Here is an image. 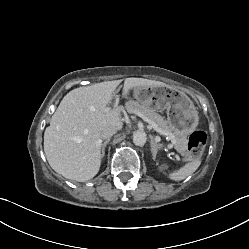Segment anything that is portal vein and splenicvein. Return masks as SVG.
<instances>
[{
    "instance_id": "portal-vein-and-splenic-vein-1",
    "label": "portal vein and splenic vein",
    "mask_w": 249,
    "mask_h": 249,
    "mask_svg": "<svg viewBox=\"0 0 249 249\" xmlns=\"http://www.w3.org/2000/svg\"><path fill=\"white\" fill-rule=\"evenodd\" d=\"M136 115H138L140 118H142L144 121H146L147 123L150 124V127L153 128L154 130H156L158 133H160L161 135H166L169 136V140H171L172 145L176 144V140L175 137L167 132H164L162 130H160L157 125L150 120L148 117H146L145 115H143L141 112H135Z\"/></svg>"
}]
</instances>
